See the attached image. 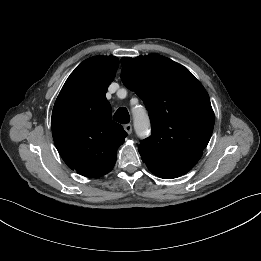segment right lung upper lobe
<instances>
[{"mask_svg": "<svg viewBox=\"0 0 261 261\" xmlns=\"http://www.w3.org/2000/svg\"><path fill=\"white\" fill-rule=\"evenodd\" d=\"M118 65L119 59L113 56L86 59L70 74L53 107L56 148L70 169L86 177L109 173L127 136L112 120L105 96Z\"/></svg>", "mask_w": 261, "mask_h": 261, "instance_id": "1", "label": "right lung upper lobe"}]
</instances>
